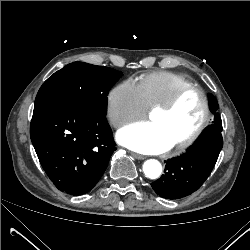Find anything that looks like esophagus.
<instances>
[{
    "mask_svg": "<svg viewBox=\"0 0 250 250\" xmlns=\"http://www.w3.org/2000/svg\"><path fill=\"white\" fill-rule=\"evenodd\" d=\"M131 156L134 157L135 159H138V160H143L146 158L145 156H143L141 154L134 153V152H131Z\"/></svg>",
    "mask_w": 250,
    "mask_h": 250,
    "instance_id": "esophagus-1",
    "label": "esophagus"
}]
</instances>
